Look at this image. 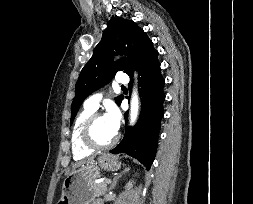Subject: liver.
<instances>
[{"mask_svg": "<svg viewBox=\"0 0 253 204\" xmlns=\"http://www.w3.org/2000/svg\"><path fill=\"white\" fill-rule=\"evenodd\" d=\"M93 157H91V158H89V159H87V160H84V161H80V162H78V163H75L74 165H73V169H75V168H77V167H79V166H82V165H84V164H87V163H90V162H92L93 161Z\"/></svg>", "mask_w": 253, "mask_h": 204, "instance_id": "6515ba94", "label": "liver"}]
</instances>
